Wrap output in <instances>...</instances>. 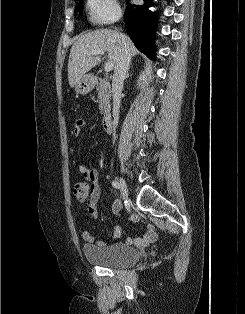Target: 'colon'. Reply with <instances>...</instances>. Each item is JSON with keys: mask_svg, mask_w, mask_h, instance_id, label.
<instances>
[{"mask_svg": "<svg viewBox=\"0 0 245 314\" xmlns=\"http://www.w3.org/2000/svg\"><path fill=\"white\" fill-rule=\"evenodd\" d=\"M73 193L79 202H88L91 197V186L87 181L77 182L73 187Z\"/></svg>", "mask_w": 245, "mask_h": 314, "instance_id": "colon-1", "label": "colon"}]
</instances>
